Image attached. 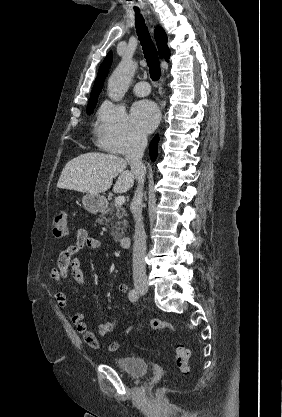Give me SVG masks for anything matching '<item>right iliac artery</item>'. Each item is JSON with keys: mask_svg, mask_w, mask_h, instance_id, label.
Returning a JSON list of instances; mask_svg holds the SVG:
<instances>
[{"mask_svg": "<svg viewBox=\"0 0 282 417\" xmlns=\"http://www.w3.org/2000/svg\"><path fill=\"white\" fill-rule=\"evenodd\" d=\"M129 300L130 301H132V302H135V301H137L138 300V298H139V293H138V291H136L135 289H132L130 292H129Z\"/></svg>", "mask_w": 282, "mask_h": 417, "instance_id": "1", "label": "right iliac artery"}]
</instances>
